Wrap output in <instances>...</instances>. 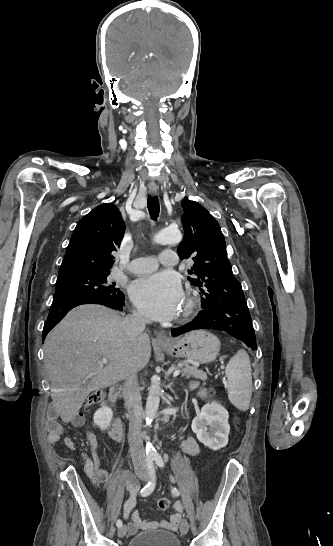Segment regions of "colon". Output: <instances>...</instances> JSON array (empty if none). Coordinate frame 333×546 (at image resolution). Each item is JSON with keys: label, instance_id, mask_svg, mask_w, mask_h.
Returning a JSON list of instances; mask_svg holds the SVG:
<instances>
[{"label": "colon", "instance_id": "1", "mask_svg": "<svg viewBox=\"0 0 333 546\" xmlns=\"http://www.w3.org/2000/svg\"><path fill=\"white\" fill-rule=\"evenodd\" d=\"M103 397H104V394L101 391H96V392L92 393L88 397L87 406H92V405L98 403ZM234 426H235V428H238V426H239L238 417H235V419H234ZM157 506H158V508L160 510L166 511L170 507V501H169V499L163 497V498L158 500Z\"/></svg>", "mask_w": 333, "mask_h": 546}]
</instances>
